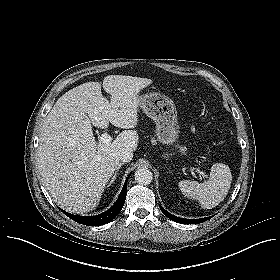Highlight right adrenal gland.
Instances as JSON below:
<instances>
[{
  "label": "right adrenal gland",
  "mask_w": 280,
  "mask_h": 280,
  "mask_svg": "<svg viewBox=\"0 0 280 280\" xmlns=\"http://www.w3.org/2000/svg\"><path fill=\"white\" fill-rule=\"evenodd\" d=\"M123 164H124V163H119V165L117 166L115 172L113 173V176H112V178H111V180H110L108 186H111V185L115 182V180H116L117 177H118V176H117V175H118V172H119V170H120V168H121V166H122Z\"/></svg>",
  "instance_id": "obj_1"
}]
</instances>
